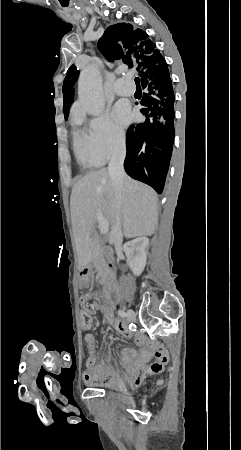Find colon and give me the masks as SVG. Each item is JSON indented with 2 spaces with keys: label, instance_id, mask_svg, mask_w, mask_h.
Masks as SVG:
<instances>
[{
  "label": "colon",
  "instance_id": "1",
  "mask_svg": "<svg viewBox=\"0 0 241 450\" xmlns=\"http://www.w3.org/2000/svg\"><path fill=\"white\" fill-rule=\"evenodd\" d=\"M79 326L82 328H93V314L80 313L79 314ZM162 380H159V384H162Z\"/></svg>",
  "mask_w": 241,
  "mask_h": 450
}]
</instances>
